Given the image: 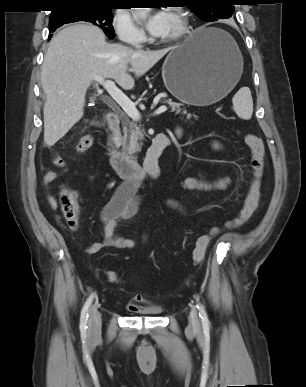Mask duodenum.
Returning <instances> with one entry per match:
<instances>
[{
    "instance_id": "410a0bca",
    "label": "duodenum",
    "mask_w": 306,
    "mask_h": 387,
    "mask_svg": "<svg viewBox=\"0 0 306 387\" xmlns=\"http://www.w3.org/2000/svg\"><path fill=\"white\" fill-rule=\"evenodd\" d=\"M109 136L107 153L109 163L115 173L128 182L137 183L143 179L155 180L160 176L159 157L163 150L171 143V139L164 133L157 134L147 150L143 162L133 156L123 155L117 148L116 141L120 134V118L115 113L107 116Z\"/></svg>"
}]
</instances>
